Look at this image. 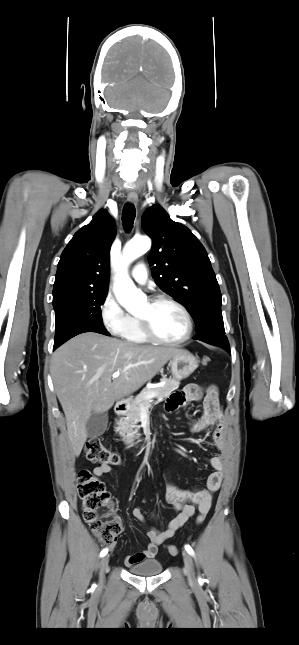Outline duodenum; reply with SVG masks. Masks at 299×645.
Segmentation results:
<instances>
[{
    "mask_svg": "<svg viewBox=\"0 0 299 645\" xmlns=\"http://www.w3.org/2000/svg\"><path fill=\"white\" fill-rule=\"evenodd\" d=\"M114 409H115V413H117V414H123V413H125V411H126V409H127V404H126V403H124V402H118V403L115 405V408H114Z\"/></svg>",
    "mask_w": 299,
    "mask_h": 645,
    "instance_id": "duodenum-1",
    "label": "duodenum"
}]
</instances>
